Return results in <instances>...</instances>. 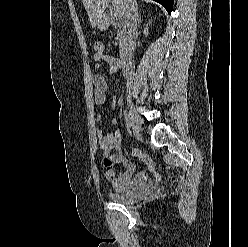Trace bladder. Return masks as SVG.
<instances>
[{
    "instance_id": "obj_1",
    "label": "bladder",
    "mask_w": 248,
    "mask_h": 247,
    "mask_svg": "<svg viewBox=\"0 0 248 247\" xmlns=\"http://www.w3.org/2000/svg\"><path fill=\"white\" fill-rule=\"evenodd\" d=\"M152 190L151 184H142L136 187L131 192H117L114 191L110 197L118 203L129 204L147 196Z\"/></svg>"
}]
</instances>
